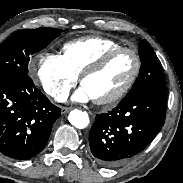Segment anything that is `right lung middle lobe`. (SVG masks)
Here are the masks:
<instances>
[{"mask_svg":"<svg viewBox=\"0 0 183 183\" xmlns=\"http://www.w3.org/2000/svg\"><path fill=\"white\" fill-rule=\"evenodd\" d=\"M61 34L54 28L21 30L0 45V77L27 74L30 56Z\"/></svg>","mask_w":183,"mask_h":183,"instance_id":"obj_1","label":"right lung middle lobe"}]
</instances>
